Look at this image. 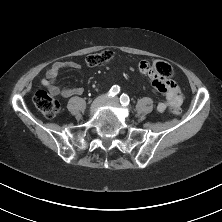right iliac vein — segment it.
Here are the masks:
<instances>
[{"mask_svg":"<svg viewBox=\"0 0 222 222\" xmlns=\"http://www.w3.org/2000/svg\"><path fill=\"white\" fill-rule=\"evenodd\" d=\"M106 102H107L106 96L102 95V96L97 97L90 106V110H89L90 114L91 115L94 114L97 111V109H99Z\"/></svg>","mask_w":222,"mask_h":222,"instance_id":"1","label":"right iliac vein"}]
</instances>
